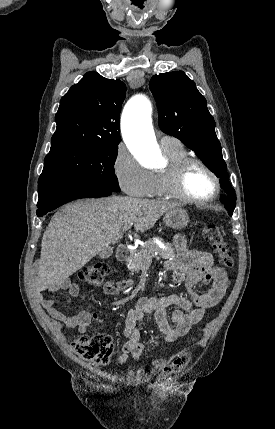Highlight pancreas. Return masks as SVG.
Wrapping results in <instances>:
<instances>
[{
	"label": "pancreas",
	"mask_w": 275,
	"mask_h": 429,
	"mask_svg": "<svg viewBox=\"0 0 275 429\" xmlns=\"http://www.w3.org/2000/svg\"><path fill=\"white\" fill-rule=\"evenodd\" d=\"M165 248H160L154 240H148L144 243V246L138 249L132 255V258L128 261V265L134 270L146 269L155 257V252L164 259H168L174 256V250L172 245L165 243Z\"/></svg>",
	"instance_id": "obj_1"
}]
</instances>
